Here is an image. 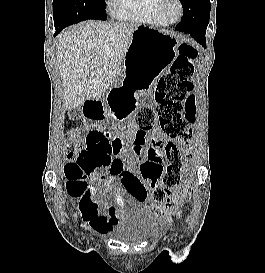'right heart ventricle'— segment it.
Wrapping results in <instances>:
<instances>
[{"mask_svg": "<svg viewBox=\"0 0 265 273\" xmlns=\"http://www.w3.org/2000/svg\"><path fill=\"white\" fill-rule=\"evenodd\" d=\"M159 4L160 0H120L117 16L123 20L166 27L170 23L160 14Z\"/></svg>", "mask_w": 265, "mask_h": 273, "instance_id": "1", "label": "right heart ventricle"}]
</instances>
